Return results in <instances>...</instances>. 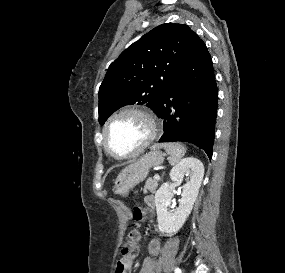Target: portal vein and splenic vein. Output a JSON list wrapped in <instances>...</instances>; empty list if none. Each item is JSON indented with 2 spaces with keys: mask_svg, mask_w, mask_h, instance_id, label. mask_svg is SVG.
Masks as SVG:
<instances>
[{
  "mask_svg": "<svg viewBox=\"0 0 285 273\" xmlns=\"http://www.w3.org/2000/svg\"><path fill=\"white\" fill-rule=\"evenodd\" d=\"M154 179L158 180V179H160V176L158 174H155Z\"/></svg>",
  "mask_w": 285,
  "mask_h": 273,
  "instance_id": "portal-vein-and-splenic-vein-1",
  "label": "portal vein and splenic vein"
}]
</instances>
